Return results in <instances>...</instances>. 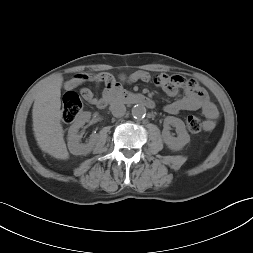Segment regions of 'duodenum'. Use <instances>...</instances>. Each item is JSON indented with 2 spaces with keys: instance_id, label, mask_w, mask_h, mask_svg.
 <instances>
[{
  "instance_id": "duodenum-1",
  "label": "duodenum",
  "mask_w": 253,
  "mask_h": 253,
  "mask_svg": "<svg viewBox=\"0 0 253 253\" xmlns=\"http://www.w3.org/2000/svg\"><path fill=\"white\" fill-rule=\"evenodd\" d=\"M116 102L127 105L139 104L147 108L155 107V103L151 98L140 93L128 92L120 85L113 83L104 90L100 101V107L104 108L107 104Z\"/></svg>"
}]
</instances>
